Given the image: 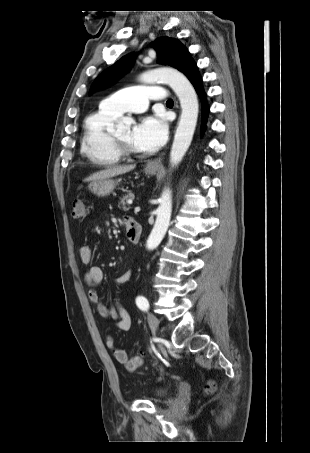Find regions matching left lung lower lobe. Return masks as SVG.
<instances>
[{"mask_svg":"<svg viewBox=\"0 0 310 453\" xmlns=\"http://www.w3.org/2000/svg\"><path fill=\"white\" fill-rule=\"evenodd\" d=\"M181 72L186 75V77L190 80V82L193 84L198 96L201 99V104H202V115H203V121H202V129L205 127V118L206 114L209 111V108L207 107V104L205 102V92L202 88V79L198 73L197 66L192 60V58H188L187 61L184 63Z\"/></svg>","mask_w":310,"mask_h":453,"instance_id":"1","label":"left lung lower lobe"}]
</instances>
